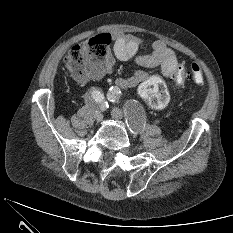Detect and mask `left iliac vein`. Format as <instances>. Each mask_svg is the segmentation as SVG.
<instances>
[{"instance_id": "4c4485c4", "label": "left iliac vein", "mask_w": 233, "mask_h": 233, "mask_svg": "<svg viewBox=\"0 0 233 233\" xmlns=\"http://www.w3.org/2000/svg\"><path fill=\"white\" fill-rule=\"evenodd\" d=\"M111 115L116 120H121L124 117L123 112L119 108H113L112 111H111ZM128 124H129L130 130L134 134H138L139 133L140 127H139L138 123L135 120H133L132 118H130L128 120Z\"/></svg>"}]
</instances>
